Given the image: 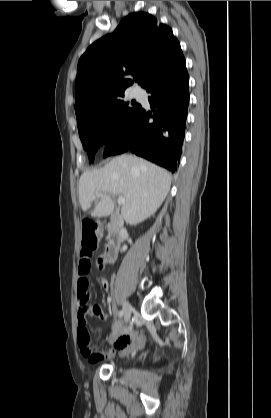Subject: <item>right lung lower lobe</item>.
I'll list each match as a JSON object with an SVG mask.
<instances>
[{
    "instance_id": "right-lung-lower-lobe-1",
    "label": "right lung lower lobe",
    "mask_w": 271,
    "mask_h": 418,
    "mask_svg": "<svg viewBox=\"0 0 271 418\" xmlns=\"http://www.w3.org/2000/svg\"><path fill=\"white\" fill-rule=\"evenodd\" d=\"M185 60L146 91L154 114L142 107L104 144V157L131 151L173 173L177 170L189 104Z\"/></svg>"
}]
</instances>
